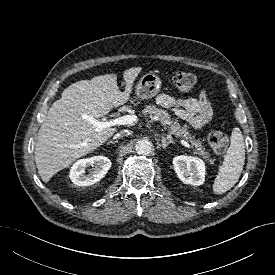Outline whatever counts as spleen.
Masks as SVG:
<instances>
[{
    "instance_id": "obj_1",
    "label": "spleen",
    "mask_w": 275,
    "mask_h": 275,
    "mask_svg": "<svg viewBox=\"0 0 275 275\" xmlns=\"http://www.w3.org/2000/svg\"><path fill=\"white\" fill-rule=\"evenodd\" d=\"M230 140V147L213 184L215 194L229 191L238 182L244 167L245 144L242 132L238 127L233 129Z\"/></svg>"
}]
</instances>
